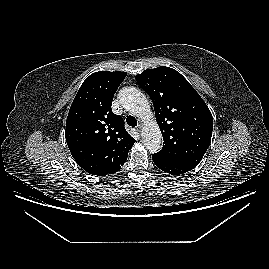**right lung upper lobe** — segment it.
I'll return each mask as SVG.
<instances>
[{
  "label": "right lung upper lobe",
  "instance_id": "right-lung-upper-lobe-1",
  "mask_svg": "<svg viewBox=\"0 0 269 269\" xmlns=\"http://www.w3.org/2000/svg\"><path fill=\"white\" fill-rule=\"evenodd\" d=\"M126 72L101 71L81 85L66 120V142L77 164L98 176L116 173L135 143L121 116L111 109Z\"/></svg>",
  "mask_w": 269,
  "mask_h": 269
}]
</instances>
